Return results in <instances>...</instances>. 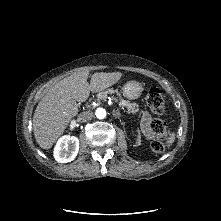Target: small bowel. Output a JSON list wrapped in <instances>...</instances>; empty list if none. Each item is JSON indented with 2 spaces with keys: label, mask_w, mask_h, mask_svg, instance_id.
<instances>
[{
  "label": "small bowel",
  "mask_w": 221,
  "mask_h": 221,
  "mask_svg": "<svg viewBox=\"0 0 221 221\" xmlns=\"http://www.w3.org/2000/svg\"><path fill=\"white\" fill-rule=\"evenodd\" d=\"M150 122H151V117L147 112H143L141 116V127L143 134L146 138H152L153 137V132L150 130Z\"/></svg>",
  "instance_id": "c3829d8e"
}]
</instances>
